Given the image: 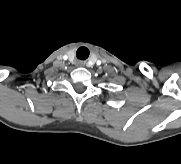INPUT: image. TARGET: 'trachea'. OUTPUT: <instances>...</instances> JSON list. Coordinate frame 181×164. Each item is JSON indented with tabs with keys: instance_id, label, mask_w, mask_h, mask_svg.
Here are the masks:
<instances>
[{
	"instance_id": "3493384b",
	"label": "trachea",
	"mask_w": 181,
	"mask_h": 164,
	"mask_svg": "<svg viewBox=\"0 0 181 164\" xmlns=\"http://www.w3.org/2000/svg\"><path fill=\"white\" fill-rule=\"evenodd\" d=\"M76 56L80 60H85L89 56V50L86 47H80L76 52Z\"/></svg>"
}]
</instances>
